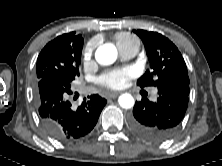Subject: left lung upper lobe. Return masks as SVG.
<instances>
[{
  "label": "left lung upper lobe",
  "instance_id": "5c2ea615",
  "mask_svg": "<svg viewBox=\"0 0 222 166\" xmlns=\"http://www.w3.org/2000/svg\"><path fill=\"white\" fill-rule=\"evenodd\" d=\"M134 32L142 39L150 62V70L137 81L141 88L158 87L168 81L189 84L185 61L178 48L168 38L157 32L141 29Z\"/></svg>",
  "mask_w": 222,
  "mask_h": 166
}]
</instances>
